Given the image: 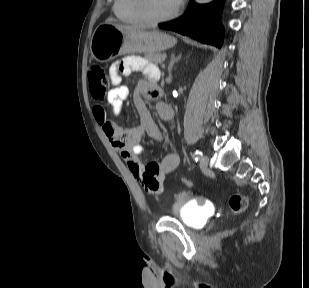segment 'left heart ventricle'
<instances>
[{"instance_id":"1","label":"left heart ventricle","mask_w":309,"mask_h":288,"mask_svg":"<svg viewBox=\"0 0 309 288\" xmlns=\"http://www.w3.org/2000/svg\"><path fill=\"white\" fill-rule=\"evenodd\" d=\"M178 5L176 0H148V9L154 16H162L173 11Z\"/></svg>"}]
</instances>
